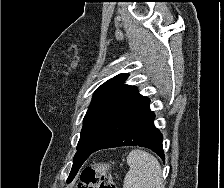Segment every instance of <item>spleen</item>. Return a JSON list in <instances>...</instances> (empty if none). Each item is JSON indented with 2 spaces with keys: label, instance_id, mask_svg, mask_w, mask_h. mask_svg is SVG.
Returning a JSON list of instances; mask_svg holds the SVG:
<instances>
[{
  "label": "spleen",
  "instance_id": "1",
  "mask_svg": "<svg viewBox=\"0 0 224 188\" xmlns=\"http://www.w3.org/2000/svg\"><path fill=\"white\" fill-rule=\"evenodd\" d=\"M127 164L130 169L124 178L123 188H164L160 164L150 153L132 150Z\"/></svg>",
  "mask_w": 224,
  "mask_h": 188
}]
</instances>
